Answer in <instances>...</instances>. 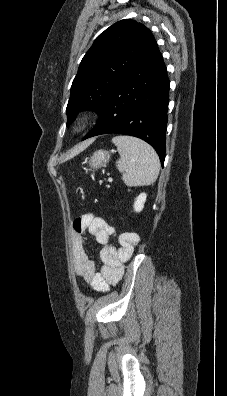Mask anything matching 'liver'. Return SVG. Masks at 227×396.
I'll return each instance as SVG.
<instances>
[{"label":"liver","instance_id":"6515ba94","mask_svg":"<svg viewBox=\"0 0 227 396\" xmlns=\"http://www.w3.org/2000/svg\"><path fill=\"white\" fill-rule=\"evenodd\" d=\"M90 143H91V141L79 145L76 149L73 150V152L71 153L70 156L72 157V156L76 155L77 153L81 152V151L84 150Z\"/></svg>","mask_w":227,"mask_h":396}]
</instances>
